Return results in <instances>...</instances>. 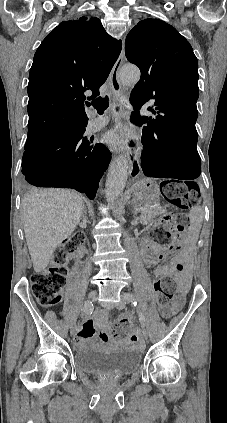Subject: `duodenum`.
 <instances>
[{"instance_id":"obj_1","label":"duodenum","mask_w":227,"mask_h":423,"mask_svg":"<svg viewBox=\"0 0 227 423\" xmlns=\"http://www.w3.org/2000/svg\"><path fill=\"white\" fill-rule=\"evenodd\" d=\"M145 247H146V245H144V247L142 248L143 254H145Z\"/></svg>"}]
</instances>
